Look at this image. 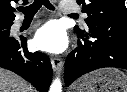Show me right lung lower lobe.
I'll use <instances>...</instances> for the list:
<instances>
[{"mask_svg": "<svg viewBox=\"0 0 127 92\" xmlns=\"http://www.w3.org/2000/svg\"><path fill=\"white\" fill-rule=\"evenodd\" d=\"M0 67L17 73L38 91H48L52 80L50 59L41 52L30 53L25 37L0 35Z\"/></svg>", "mask_w": 127, "mask_h": 92, "instance_id": "1", "label": "right lung lower lobe"}]
</instances>
